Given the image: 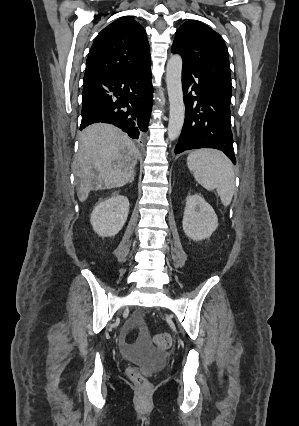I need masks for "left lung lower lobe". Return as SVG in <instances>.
<instances>
[{
  "mask_svg": "<svg viewBox=\"0 0 299 426\" xmlns=\"http://www.w3.org/2000/svg\"><path fill=\"white\" fill-rule=\"evenodd\" d=\"M182 88L186 107L185 123L175 153L196 148H215L223 151L235 164L230 128L231 95L185 64L182 67Z\"/></svg>",
  "mask_w": 299,
  "mask_h": 426,
  "instance_id": "left-lung-lower-lobe-1",
  "label": "left lung lower lobe"
}]
</instances>
